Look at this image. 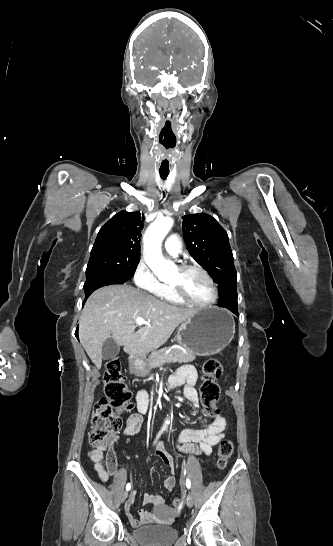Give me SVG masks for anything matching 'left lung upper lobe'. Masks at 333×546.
<instances>
[{"instance_id": "left-lung-upper-lobe-1", "label": "left lung upper lobe", "mask_w": 333, "mask_h": 546, "mask_svg": "<svg viewBox=\"0 0 333 546\" xmlns=\"http://www.w3.org/2000/svg\"><path fill=\"white\" fill-rule=\"evenodd\" d=\"M182 227L187 250L218 285V304L236 301L237 274L226 231L205 213L185 215Z\"/></svg>"}]
</instances>
